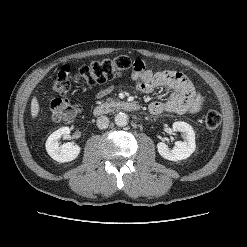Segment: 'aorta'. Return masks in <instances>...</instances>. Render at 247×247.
<instances>
[{
    "mask_svg": "<svg viewBox=\"0 0 247 247\" xmlns=\"http://www.w3.org/2000/svg\"><path fill=\"white\" fill-rule=\"evenodd\" d=\"M115 124L119 127H124L128 124V116L125 113H118L115 116Z\"/></svg>",
    "mask_w": 247,
    "mask_h": 247,
    "instance_id": "762f6f07",
    "label": "aorta"
}]
</instances>
